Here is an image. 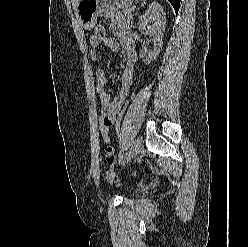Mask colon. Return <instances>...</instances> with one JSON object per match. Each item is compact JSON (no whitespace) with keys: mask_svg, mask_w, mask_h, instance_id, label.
Returning a JSON list of instances; mask_svg holds the SVG:
<instances>
[{"mask_svg":"<svg viewBox=\"0 0 248 247\" xmlns=\"http://www.w3.org/2000/svg\"><path fill=\"white\" fill-rule=\"evenodd\" d=\"M94 36L97 38H103L105 36V31L104 28L101 25H97L94 29ZM129 101L121 108V110L118 113V116L114 122V128H115V133L116 137L119 140L121 136V127H122V121L124 117V113L126 111V107Z\"/></svg>","mask_w":248,"mask_h":247,"instance_id":"obj_1","label":"colon"}]
</instances>
